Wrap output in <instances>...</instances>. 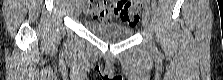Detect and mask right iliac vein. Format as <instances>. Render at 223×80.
<instances>
[{"label":"right iliac vein","mask_w":223,"mask_h":80,"mask_svg":"<svg viewBox=\"0 0 223 80\" xmlns=\"http://www.w3.org/2000/svg\"><path fill=\"white\" fill-rule=\"evenodd\" d=\"M82 12V5L81 3H77L75 6V15L78 17Z\"/></svg>","instance_id":"right-iliac-vein-1"}]
</instances>
